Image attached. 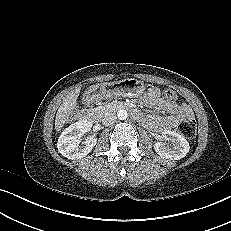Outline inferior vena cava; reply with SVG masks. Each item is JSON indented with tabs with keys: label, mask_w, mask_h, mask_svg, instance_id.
<instances>
[{
	"label": "inferior vena cava",
	"mask_w": 231,
	"mask_h": 231,
	"mask_svg": "<svg viewBox=\"0 0 231 231\" xmlns=\"http://www.w3.org/2000/svg\"><path fill=\"white\" fill-rule=\"evenodd\" d=\"M117 119L115 113L107 112L102 117V123L106 126L112 125Z\"/></svg>",
	"instance_id": "1"
}]
</instances>
